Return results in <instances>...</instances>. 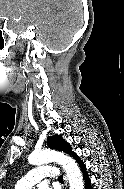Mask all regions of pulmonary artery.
<instances>
[{"label":"pulmonary artery","mask_w":124,"mask_h":189,"mask_svg":"<svg viewBox=\"0 0 124 189\" xmlns=\"http://www.w3.org/2000/svg\"><path fill=\"white\" fill-rule=\"evenodd\" d=\"M59 171L54 166L34 168L26 176L21 178L15 185L16 189H31L35 184L45 178L55 179Z\"/></svg>","instance_id":"pulmonary-artery-1"}]
</instances>
